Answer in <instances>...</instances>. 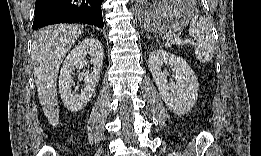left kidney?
<instances>
[{"label":"left kidney","instance_id":"obj_1","mask_svg":"<svg viewBox=\"0 0 261 156\" xmlns=\"http://www.w3.org/2000/svg\"><path fill=\"white\" fill-rule=\"evenodd\" d=\"M163 64L173 67L176 84L168 82ZM148 66L167 107L178 115L189 112L197 101L199 84L188 63L178 55L155 50L149 55Z\"/></svg>","mask_w":261,"mask_h":156}]
</instances>
